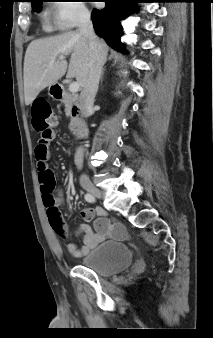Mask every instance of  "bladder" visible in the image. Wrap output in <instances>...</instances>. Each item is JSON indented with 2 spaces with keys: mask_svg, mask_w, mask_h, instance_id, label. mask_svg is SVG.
I'll list each match as a JSON object with an SVG mask.
<instances>
[{
  "mask_svg": "<svg viewBox=\"0 0 213 338\" xmlns=\"http://www.w3.org/2000/svg\"><path fill=\"white\" fill-rule=\"evenodd\" d=\"M132 262L126 243L102 242L86 254L81 265L100 277H108L123 272Z\"/></svg>",
  "mask_w": 213,
  "mask_h": 338,
  "instance_id": "obj_1",
  "label": "bladder"
}]
</instances>
